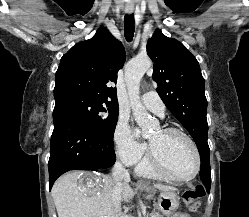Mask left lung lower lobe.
Segmentation results:
<instances>
[{
	"label": "left lung lower lobe",
	"mask_w": 249,
	"mask_h": 217,
	"mask_svg": "<svg viewBox=\"0 0 249 217\" xmlns=\"http://www.w3.org/2000/svg\"><path fill=\"white\" fill-rule=\"evenodd\" d=\"M200 178H201L202 182L204 183L207 192L209 193L210 184H211V175H209V173H207L206 171H202L200 173Z\"/></svg>",
	"instance_id": "1"
}]
</instances>
